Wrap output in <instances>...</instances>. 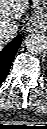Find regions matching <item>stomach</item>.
Listing matches in <instances>:
<instances>
[{"label": "stomach", "instance_id": "obj_1", "mask_svg": "<svg viewBox=\"0 0 47 129\" xmlns=\"http://www.w3.org/2000/svg\"><path fill=\"white\" fill-rule=\"evenodd\" d=\"M34 14L31 27L47 31V0H32Z\"/></svg>", "mask_w": 47, "mask_h": 129}]
</instances>
